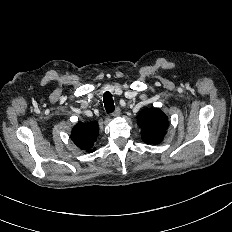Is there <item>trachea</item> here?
Masks as SVG:
<instances>
[{
    "instance_id": "1",
    "label": "trachea",
    "mask_w": 232,
    "mask_h": 232,
    "mask_svg": "<svg viewBox=\"0 0 232 232\" xmlns=\"http://www.w3.org/2000/svg\"><path fill=\"white\" fill-rule=\"evenodd\" d=\"M103 102L107 113H112L115 109L112 94L107 91L103 94Z\"/></svg>"
}]
</instances>
